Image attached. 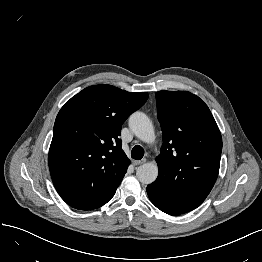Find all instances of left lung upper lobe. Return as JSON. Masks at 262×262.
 Wrapping results in <instances>:
<instances>
[{
	"instance_id": "left-lung-upper-lobe-1",
	"label": "left lung upper lobe",
	"mask_w": 262,
	"mask_h": 262,
	"mask_svg": "<svg viewBox=\"0 0 262 262\" xmlns=\"http://www.w3.org/2000/svg\"><path fill=\"white\" fill-rule=\"evenodd\" d=\"M163 145L147 193L178 213L202 204L219 173L222 138L208 106L187 91L156 92Z\"/></svg>"
}]
</instances>
